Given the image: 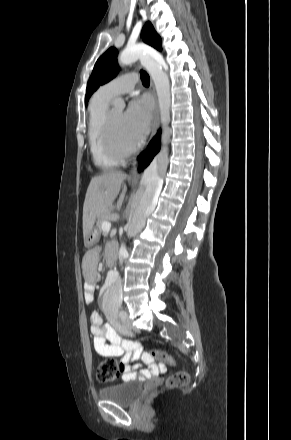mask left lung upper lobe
Listing matches in <instances>:
<instances>
[{"label":"left lung upper lobe","mask_w":291,"mask_h":440,"mask_svg":"<svg viewBox=\"0 0 291 440\" xmlns=\"http://www.w3.org/2000/svg\"><path fill=\"white\" fill-rule=\"evenodd\" d=\"M142 39L145 43L153 46L157 50H162V42L160 36L156 33L150 22H147L142 29ZM117 50L109 48L96 62L92 74L89 78L86 90V104L90 96L99 88L118 73Z\"/></svg>","instance_id":"5c2ea615"}]
</instances>
